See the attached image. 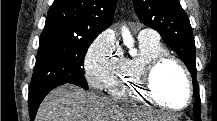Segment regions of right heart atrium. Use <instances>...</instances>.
<instances>
[{
  "label": "right heart atrium",
  "instance_id": "d8ad5b80",
  "mask_svg": "<svg viewBox=\"0 0 217 121\" xmlns=\"http://www.w3.org/2000/svg\"><path fill=\"white\" fill-rule=\"evenodd\" d=\"M121 48L109 31L102 32L90 45L85 57V75L91 86L103 89L122 62Z\"/></svg>",
  "mask_w": 217,
  "mask_h": 121
}]
</instances>
